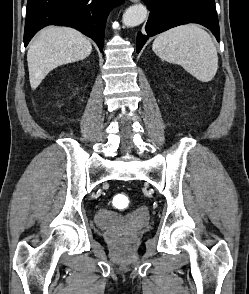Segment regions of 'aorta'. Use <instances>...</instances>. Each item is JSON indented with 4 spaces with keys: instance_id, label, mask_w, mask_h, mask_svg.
I'll return each instance as SVG.
<instances>
[{
    "instance_id": "obj_1",
    "label": "aorta",
    "mask_w": 249,
    "mask_h": 294,
    "mask_svg": "<svg viewBox=\"0 0 249 294\" xmlns=\"http://www.w3.org/2000/svg\"><path fill=\"white\" fill-rule=\"evenodd\" d=\"M147 18V8L142 4L130 6L123 14L122 23L126 27H135Z\"/></svg>"
}]
</instances>
